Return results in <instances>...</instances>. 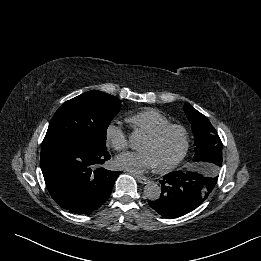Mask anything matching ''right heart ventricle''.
I'll return each instance as SVG.
<instances>
[{
    "instance_id": "e07e8e85",
    "label": "right heart ventricle",
    "mask_w": 261,
    "mask_h": 261,
    "mask_svg": "<svg viewBox=\"0 0 261 261\" xmlns=\"http://www.w3.org/2000/svg\"><path fill=\"white\" fill-rule=\"evenodd\" d=\"M128 121L148 135L171 124L170 119L165 114L153 108H148L131 115Z\"/></svg>"
}]
</instances>
